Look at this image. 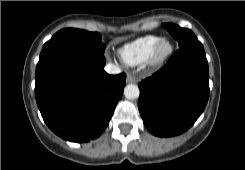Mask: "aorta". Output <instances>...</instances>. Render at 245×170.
Segmentation results:
<instances>
[{
    "mask_svg": "<svg viewBox=\"0 0 245 170\" xmlns=\"http://www.w3.org/2000/svg\"><path fill=\"white\" fill-rule=\"evenodd\" d=\"M140 91L137 85L128 84L124 89V95L127 99H136L139 97Z\"/></svg>",
    "mask_w": 245,
    "mask_h": 170,
    "instance_id": "762f6f07",
    "label": "aorta"
}]
</instances>
